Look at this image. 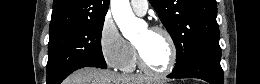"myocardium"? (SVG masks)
I'll list each match as a JSON object with an SVG mask.
<instances>
[{"mask_svg": "<svg viewBox=\"0 0 260 84\" xmlns=\"http://www.w3.org/2000/svg\"><path fill=\"white\" fill-rule=\"evenodd\" d=\"M148 30L152 33H161L167 39L169 47H170L169 63L167 65V67L162 71L153 70L146 64L140 48L135 44L134 48H135L137 65L141 71H143L144 73H146L149 76L166 77L174 71L176 64H177L178 50H177V45H176L175 39H174L173 35L171 34V32L163 26L153 25V26L149 27Z\"/></svg>", "mask_w": 260, "mask_h": 84, "instance_id": "obj_1", "label": "myocardium"}]
</instances>
